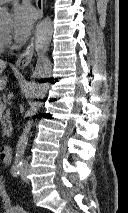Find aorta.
Returning <instances> with one entry per match:
<instances>
[{"instance_id":"1","label":"aorta","mask_w":128,"mask_h":213,"mask_svg":"<svg viewBox=\"0 0 128 213\" xmlns=\"http://www.w3.org/2000/svg\"><path fill=\"white\" fill-rule=\"evenodd\" d=\"M9 21V13L0 8V25H4ZM53 35V22L49 17L44 18L38 25L35 32V50L37 52V62L34 72V77L37 79H48L52 74V64L48 58L47 52L49 51L50 42ZM49 89L48 82L37 83L32 92V97L36 99H42L45 97L47 90ZM41 103L38 101L32 102L30 108L27 111V116L31 117L37 113ZM33 121L28 120L23 128V132L20 135L14 158V167H18L22 164L23 155L28 145V137L32 127Z\"/></svg>"}]
</instances>
